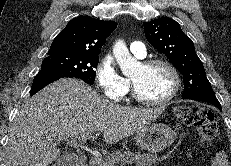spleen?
<instances>
[{
  "mask_svg": "<svg viewBox=\"0 0 231 166\" xmlns=\"http://www.w3.org/2000/svg\"><path fill=\"white\" fill-rule=\"evenodd\" d=\"M212 166H229L227 155L224 151L216 154L214 160L212 161Z\"/></svg>",
  "mask_w": 231,
  "mask_h": 166,
  "instance_id": "1",
  "label": "spleen"
}]
</instances>
